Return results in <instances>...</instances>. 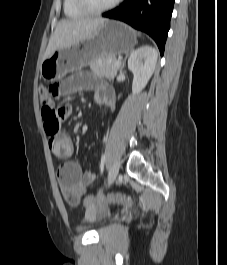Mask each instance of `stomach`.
<instances>
[{
    "label": "stomach",
    "mask_w": 227,
    "mask_h": 265,
    "mask_svg": "<svg viewBox=\"0 0 227 265\" xmlns=\"http://www.w3.org/2000/svg\"><path fill=\"white\" fill-rule=\"evenodd\" d=\"M136 44L135 32L119 21H107L88 39L57 49L41 63L40 74L47 81L62 79L98 58L129 52Z\"/></svg>",
    "instance_id": "stomach-1"
}]
</instances>
